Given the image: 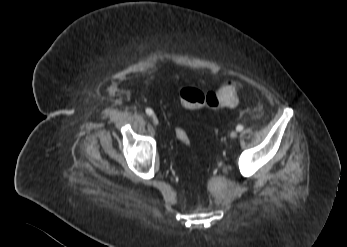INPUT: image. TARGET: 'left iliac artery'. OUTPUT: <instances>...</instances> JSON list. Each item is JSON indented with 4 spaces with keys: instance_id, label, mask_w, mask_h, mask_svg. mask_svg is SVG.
<instances>
[{
    "instance_id": "1",
    "label": "left iliac artery",
    "mask_w": 347,
    "mask_h": 247,
    "mask_svg": "<svg viewBox=\"0 0 347 247\" xmlns=\"http://www.w3.org/2000/svg\"><path fill=\"white\" fill-rule=\"evenodd\" d=\"M236 130L239 131V132L242 131V130H243V126H242V125H238V126L236 127Z\"/></svg>"
}]
</instances>
